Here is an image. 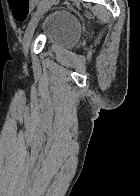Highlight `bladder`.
I'll use <instances>...</instances> for the list:
<instances>
[{
    "instance_id": "1",
    "label": "bladder",
    "mask_w": 140,
    "mask_h": 196,
    "mask_svg": "<svg viewBox=\"0 0 140 196\" xmlns=\"http://www.w3.org/2000/svg\"><path fill=\"white\" fill-rule=\"evenodd\" d=\"M41 32L52 46L72 49L79 43L80 21L75 14L68 10H54L44 19Z\"/></svg>"
}]
</instances>
